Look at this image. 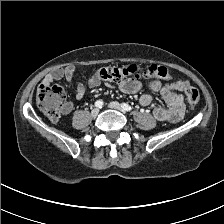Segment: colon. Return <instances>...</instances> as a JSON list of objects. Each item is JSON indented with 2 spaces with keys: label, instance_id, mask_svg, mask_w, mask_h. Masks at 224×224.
<instances>
[{
  "label": "colon",
  "instance_id": "obj_1",
  "mask_svg": "<svg viewBox=\"0 0 224 224\" xmlns=\"http://www.w3.org/2000/svg\"><path fill=\"white\" fill-rule=\"evenodd\" d=\"M140 71L135 65L124 67L108 66L98 70L100 79L110 82H119L129 75H135ZM147 73L161 79H169L171 73L168 68L161 65H151ZM186 98L190 106L195 107L200 102L199 91L195 87L186 89ZM37 103L39 108L52 120H58L61 113L68 109L67 94L62 86L41 84L37 89Z\"/></svg>",
  "mask_w": 224,
  "mask_h": 224
}]
</instances>
